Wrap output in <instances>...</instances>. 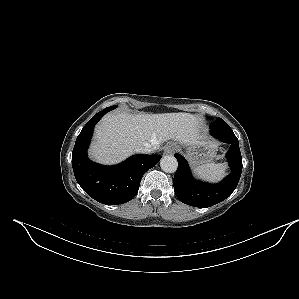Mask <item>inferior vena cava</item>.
<instances>
[{
    "mask_svg": "<svg viewBox=\"0 0 299 299\" xmlns=\"http://www.w3.org/2000/svg\"><path fill=\"white\" fill-rule=\"evenodd\" d=\"M154 151L151 145L147 144L145 146H142L138 149V152L143 153V154H150Z\"/></svg>",
    "mask_w": 299,
    "mask_h": 299,
    "instance_id": "602c4592",
    "label": "inferior vena cava"
}]
</instances>
